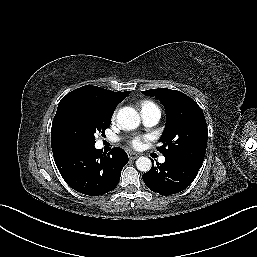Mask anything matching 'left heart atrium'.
Returning <instances> with one entry per match:
<instances>
[{"instance_id": "obj_1", "label": "left heart atrium", "mask_w": 257, "mask_h": 257, "mask_svg": "<svg viewBox=\"0 0 257 257\" xmlns=\"http://www.w3.org/2000/svg\"><path fill=\"white\" fill-rule=\"evenodd\" d=\"M145 140H146V137L137 136L130 141V144L134 148H140Z\"/></svg>"}]
</instances>
